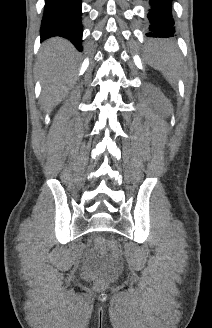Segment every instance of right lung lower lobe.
I'll return each mask as SVG.
<instances>
[{"label": "right lung lower lobe", "instance_id": "98d812e1", "mask_svg": "<svg viewBox=\"0 0 212 328\" xmlns=\"http://www.w3.org/2000/svg\"><path fill=\"white\" fill-rule=\"evenodd\" d=\"M81 0H45L41 38L61 36L82 51Z\"/></svg>", "mask_w": 212, "mask_h": 328}]
</instances>
